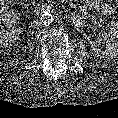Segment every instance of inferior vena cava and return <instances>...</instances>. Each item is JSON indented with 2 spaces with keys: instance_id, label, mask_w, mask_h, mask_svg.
Here are the masks:
<instances>
[{
  "instance_id": "obj_1",
  "label": "inferior vena cava",
  "mask_w": 118,
  "mask_h": 118,
  "mask_svg": "<svg viewBox=\"0 0 118 118\" xmlns=\"http://www.w3.org/2000/svg\"><path fill=\"white\" fill-rule=\"evenodd\" d=\"M35 23H36V25H38V26L41 25V21H40V20H36Z\"/></svg>"
}]
</instances>
